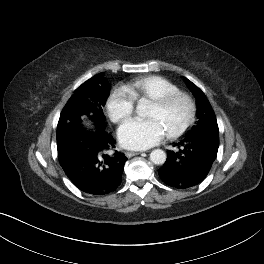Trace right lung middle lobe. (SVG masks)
<instances>
[{
  "label": "right lung middle lobe",
  "instance_id": "right-lung-middle-lobe-1",
  "mask_svg": "<svg viewBox=\"0 0 264 264\" xmlns=\"http://www.w3.org/2000/svg\"><path fill=\"white\" fill-rule=\"evenodd\" d=\"M109 92V83L104 78V73L92 77L78 87L61 112L57 126V139H60L61 133L79 125L81 116L105 124L103 107Z\"/></svg>",
  "mask_w": 264,
  "mask_h": 264
}]
</instances>
